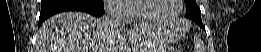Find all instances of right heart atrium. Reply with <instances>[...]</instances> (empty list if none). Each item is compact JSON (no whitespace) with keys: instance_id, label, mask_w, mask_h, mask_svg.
Masks as SVG:
<instances>
[{"instance_id":"d8ad5b80","label":"right heart atrium","mask_w":261,"mask_h":52,"mask_svg":"<svg viewBox=\"0 0 261 52\" xmlns=\"http://www.w3.org/2000/svg\"><path fill=\"white\" fill-rule=\"evenodd\" d=\"M104 9L109 16L114 18L129 17V11L125 6V0H105Z\"/></svg>"}]
</instances>
